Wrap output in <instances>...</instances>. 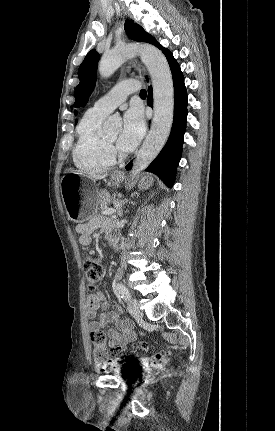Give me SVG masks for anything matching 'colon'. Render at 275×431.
I'll use <instances>...</instances> for the list:
<instances>
[{
    "label": "colon",
    "instance_id": "colon-1",
    "mask_svg": "<svg viewBox=\"0 0 275 431\" xmlns=\"http://www.w3.org/2000/svg\"><path fill=\"white\" fill-rule=\"evenodd\" d=\"M83 268L89 289L94 290L104 273L103 262L98 258L87 256L83 260ZM90 337L93 344L94 360L103 371H111L120 365L132 364L130 357H120L118 355L119 348H114L111 352L107 349L106 336L102 330L91 331ZM133 347L142 350H147L148 348L145 342L135 343ZM143 360L155 367H161L167 363L168 354L165 352L157 353L153 356H145Z\"/></svg>",
    "mask_w": 275,
    "mask_h": 431
}]
</instances>
